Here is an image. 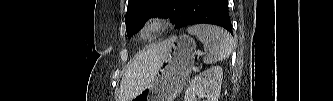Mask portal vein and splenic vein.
<instances>
[{
	"mask_svg": "<svg viewBox=\"0 0 333 101\" xmlns=\"http://www.w3.org/2000/svg\"><path fill=\"white\" fill-rule=\"evenodd\" d=\"M202 54H203V53L200 52V55H202ZM192 70L196 72V71L198 70V68H196V67L193 66V67H192Z\"/></svg>",
	"mask_w": 333,
	"mask_h": 101,
	"instance_id": "portal-vein-and-splenic-vein-1",
	"label": "portal vein and splenic vein"
}]
</instances>
